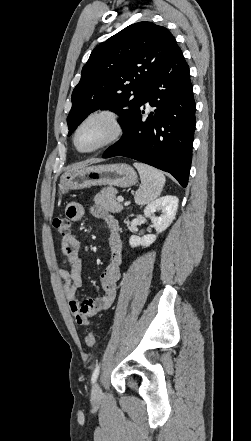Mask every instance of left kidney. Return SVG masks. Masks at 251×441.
Here are the masks:
<instances>
[{
	"instance_id": "1",
	"label": "left kidney",
	"mask_w": 251,
	"mask_h": 441,
	"mask_svg": "<svg viewBox=\"0 0 251 441\" xmlns=\"http://www.w3.org/2000/svg\"><path fill=\"white\" fill-rule=\"evenodd\" d=\"M178 198L172 195L163 196L146 206L144 215L149 218L155 228L157 234L166 230L173 222L178 209ZM161 212L156 216V212ZM157 239V235L148 234L143 237L132 235L129 239V244L132 248L137 246L148 247Z\"/></svg>"
}]
</instances>
